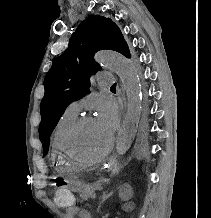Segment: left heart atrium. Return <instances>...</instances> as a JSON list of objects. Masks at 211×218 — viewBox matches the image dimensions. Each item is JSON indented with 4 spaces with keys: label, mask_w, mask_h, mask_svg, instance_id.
I'll list each match as a JSON object with an SVG mask.
<instances>
[{
    "label": "left heart atrium",
    "mask_w": 211,
    "mask_h": 218,
    "mask_svg": "<svg viewBox=\"0 0 211 218\" xmlns=\"http://www.w3.org/2000/svg\"><path fill=\"white\" fill-rule=\"evenodd\" d=\"M95 121L110 135L116 131L119 123L118 110L108 97H100L97 100Z\"/></svg>",
    "instance_id": "obj_1"
}]
</instances>
